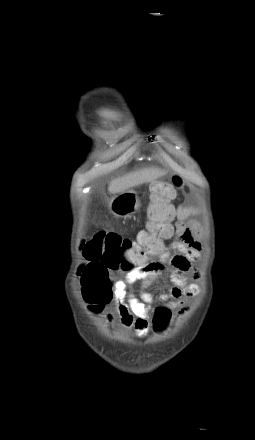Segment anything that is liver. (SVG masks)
<instances>
[{
  "mask_svg": "<svg viewBox=\"0 0 255 440\" xmlns=\"http://www.w3.org/2000/svg\"><path fill=\"white\" fill-rule=\"evenodd\" d=\"M165 174L166 171L159 168L141 169L113 179L108 186V191L111 194L121 193L140 184L153 182Z\"/></svg>",
  "mask_w": 255,
  "mask_h": 440,
  "instance_id": "1",
  "label": "liver"
}]
</instances>
